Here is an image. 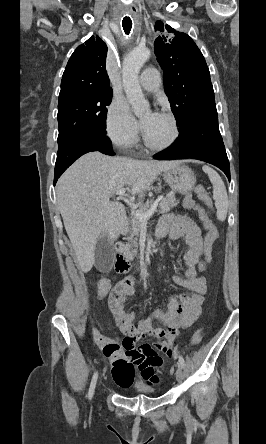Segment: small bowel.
I'll use <instances>...</instances> for the list:
<instances>
[{
    "label": "small bowel",
    "mask_w": 266,
    "mask_h": 444,
    "mask_svg": "<svg viewBox=\"0 0 266 444\" xmlns=\"http://www.w3.org/2000/svg\"><path fill=\"white\" fill-rule=\"evenodd\" d=\"M158 232L160 235H168L172 240L185 239L188 246L183 256L185 278L174 275L172 279L179 287L190 290V293L171 294L166 309L159 308L147 317L126 311L125 303L111 308L116 324L125 335L121 343L93 328L96 344L113 361V379L123 388L132 384L135 370L150 385L159 381L157 373L163 366L164 358L176 354L174 339L181 329L190 327L198 319L206 292L205 278L196 274L195 266L201 258L203 245L200 230L194 221L187 216L169 214L162 219ZM127 280L132 285L130 296L134 293L135 278L129 277ZM110 288L111 282L102 280L97 287L98 299H105ZM156 322L163 327L155 325ZM144 337H153L157 341L154 345L136 347V343Z\"/></svg>",
    "instance_id": "c3829d8e"
}]
</instances>
